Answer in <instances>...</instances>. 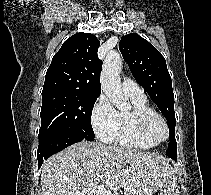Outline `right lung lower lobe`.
I'll use <instances>...</instances> for the list:
<instances>
[{
  "instance_id": "right-lung-lower-lobe-1",
  "label": "right lung lower lobe",
  "mask_w": 211,
  "mask_h": 195,
  "mask_svg": "<svg viewBox=\"0 0 211 195\" xmlns=\"http://www.w3.org/2000/svg\"><path fill=\"white\" fill-rule=\"evenodd\" d=\"M88 140L86 137L79 134H59L50 138L39 141L38 147V167L42 165L43 161L51 155L63 150L64 148L83 141Z\"/></svg>"
}]
</instances>
